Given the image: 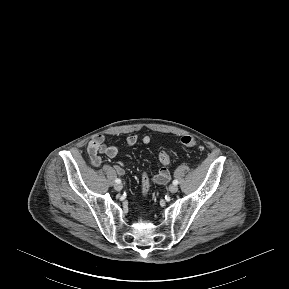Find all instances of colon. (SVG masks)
I'll return each mask as SVG.
<instances>
[{"label":"colon","instance_id":"1","mask_svg":"<svg viewBox=\"0 0 289 289\" xmlns=\"http://www.w3.org/2000/svg\"><path fill=\"white\" fill-rule=\"evenodd\" d=\"M181 142L186 147L201 149V146L198 140L194 138L193 136H189V135L183 136L181 138ZM159 161L162 164L166 165L170 162V156L168 155L167 152L161 151L159 153ZM142 189H143L144 195H147L149 193L150 186L148 182V175L146 173H144L142 177Z\"/></svg>","mask_w":289,"mask_h":289}]
</instances>
